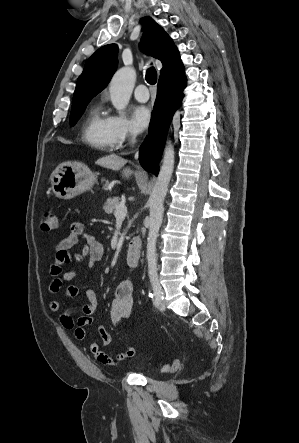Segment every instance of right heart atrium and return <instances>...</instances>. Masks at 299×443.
<instances>
[{"label": "right heart atrium", "mask_w": 299, "mask_h": 443, "mask_svg": "<svg viewBox=\"0 0 299 443\" xmlns=\"http://www.w3.org/2000/svg\"><path fill=\"white\" fill-rule=\"evenodd\" d=\"M107 122L109 138L113 147H122L126 142L136 137V133L126 117L110 115Z\"/></svg>", "instance_id": "obj_1"}]
</instances>
